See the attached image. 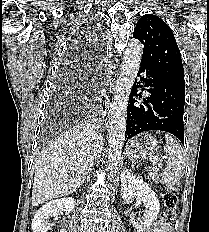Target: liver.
Wrapping results in <instances>:
<instances>
[{
    "label": "liver",
    "mask_w": 209,
    "mask_h": 232,
    "mask_svg": "<svg viewBox=\"0 0 209 232\" xmlns=\"http://www.w3.org/2000/svg\"><path fill=\"white\" fill-rule=\"evenodd\" d=\"M93 127L80 124L43 148L35 160L32 206L75 192L91 165Z\"/></svg>",
    "instance_id": "liver-1"
}]
</instances>
